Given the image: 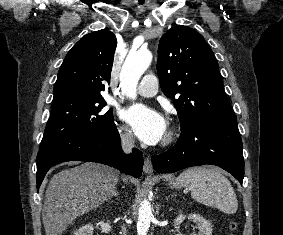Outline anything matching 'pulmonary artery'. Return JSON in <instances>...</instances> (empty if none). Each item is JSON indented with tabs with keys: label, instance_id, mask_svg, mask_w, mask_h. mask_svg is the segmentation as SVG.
<instances>
[{
	"label": "pulmonary artery",
	"instance_id": "1",
	"mask_svg": "<svg viewBox=\"0 0 283 235\" xmlns=\"http://www.w3.org/2000/svg\"><path fill=\"white\" fill-rule=\"evenodd\" d=\"M137 92L144 97H152L158 92L157 78L153 74L145 75L138 88Z\"/></svg>",
	"mask_w": 283,
	"mask_h": 235
}]
</instances>
